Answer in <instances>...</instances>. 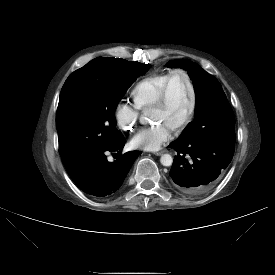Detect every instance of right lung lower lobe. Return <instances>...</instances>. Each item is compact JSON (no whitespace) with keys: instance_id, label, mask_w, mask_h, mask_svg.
Listing matches in <instances>:
<instances>
[{"instance_id":"1","label":"right lung lower lobe","mask_w":275,"mask_h":275,"mask_svg":"<svg viewBox=\"0 0 275 275\" xmlns=\"http://www.w3.org/2000/svg\"><path fill=\"white\" fill-rule=\"evenodd\" d=\"M125 139L120 137L102 151H94L75 156L64 165L75 184L85 193L104 197L119 189L139 151H130L108 162L106 154L118 152L124 147Z\"/></svg>"}]
</instances>
